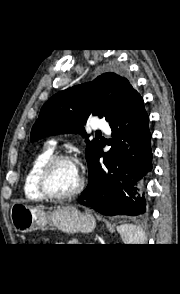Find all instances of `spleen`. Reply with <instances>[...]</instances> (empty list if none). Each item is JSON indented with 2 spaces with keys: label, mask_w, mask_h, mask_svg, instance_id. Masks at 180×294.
<instances>
[{
  "label": "spleen",
  "mask_w": 180,
  "mask_h": 294,
  "mask_svg": "<svg viewBox=\"0 0 180 294\" xmlns=\"http://www.w3.org/2000/svg\"><path fill=\"white\" fill-rule=\"evenodd\" d=\"M124 244H144L146 236L140 227L133 224H122L117 228Z\"/></svg>",
  "instance_id": "1"
}]
</instances>
